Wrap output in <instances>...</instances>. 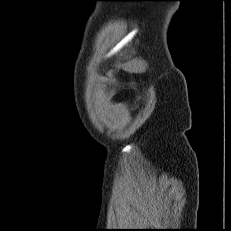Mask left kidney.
Segmentation results:
<instances>
[{"mask_svg": "<svg viewBox=\"0 0 231 231\" xmlns=\"http://www.w3.org/2000/svg\"><path fill=\"white\" fill-rule=\"evenodd\" d=\"M146 68H147V63L144 60L136 59L129 62L126 65L125 70L130 73H143L146 71Z\"/></svg>", "mask_w": 231, "mask_h": 231, "instance_id": "left-kidney-1", "label": "left kidney"}]
</instances>
